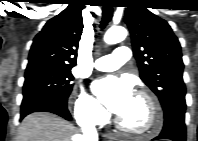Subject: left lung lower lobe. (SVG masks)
<instances>
[{
    "label": "left lung lower lobe",
    "mask_w": 198,
    "mask_h": 141,
    "mask_svg": "<svg viewBox=\"0 0 198 141\" xmlns=\"http://www.w3.org/2000/svg\"><path fill=\"white\" fill-rule=\"evenodd\" d=\"M186 104L176 103L169 106L164 111V126L161 134L154 138L168 139L172 141H185L186 140V128L184 123Z\"/></svg>",
    "instance_id": "left-lung-lower-lobe-1"
}]
</instances>
